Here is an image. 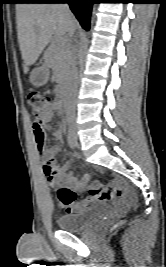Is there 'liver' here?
<instances>
[{
	"label": "liver",
	"instance_id": "1",
	"mask_svg": "<svg viewBox=\"0 0 166 267\" xmlns=\"http://www.w3.org/2000/svg\"><path fill=\"white\" fill-rule=\"evenodd\" d=\"M17 35L24 63L28 73L52 36L62 37L77 27L72 14H67L58 4L20 3L16 5Z\"/></svg>",
	"mask_w": 166,
	"mask_h": 267
}]
</instances>
